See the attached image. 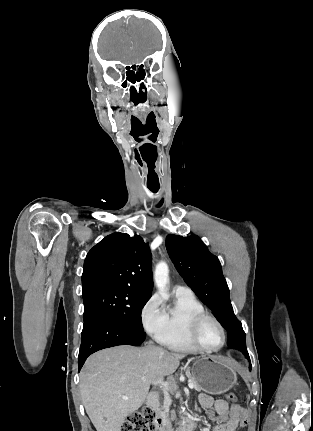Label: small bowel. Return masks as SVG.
Masks as SVG:
<instances>
[{
    "mask_svg": "<svg viewBox=\"0 0 313 431\" xmlns=\"http://www.w3.org/2000/svg\"><path fill=\"white\" fill-rule=\"evenodd\" d=\"M199 402L208 410V416L214 422L212 431H235L248 423L247 413L239 404L229 405L222 399L213 400L206 394L199 396Z\"/></svg>",
    "mask_w": 313,
    "mask_h": 431,
    "instance_id": "1",
    "label": "small bowel"
}]
</instances>
